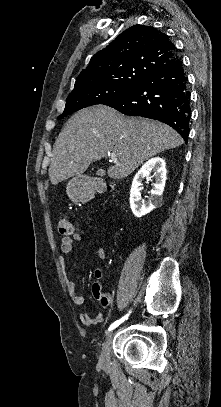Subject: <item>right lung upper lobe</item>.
Wrapping results in <instances>:
<instances>
[{
  "mask_svg": "<svg viewBox=\"0 0 221 407\" xmlns=\"http://www.w3.org/2000/svg\"><path fill=\"white\" fill-rule=\"evenodd\" d=\"M176 55V47L165 33L134 25L91 58L73 91L100 84L137 85Z\"/></svg>",
  "mask_w": 221,
  "mask_h": 407,
  "instance_id": "1",
  "label": "right lung upper lobe"
}]
</instances>
